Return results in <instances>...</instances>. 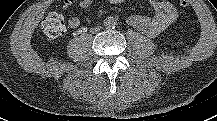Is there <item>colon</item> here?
<instances>
[{
  "mask_svg": "<svg viewBox=\"0 0 217 121\" xmlns=\"http://www.w3.org/2000/svg\"><path fill=\"white\" fill-rule=\"evenodd\" d=\"M179 3L181 6L187 7L189 1L179 0ZM42 28L50 37H59L64 35L66 32V26L62 14L57 11L48 13L42 21Z\"/></svg>",
  "mask_w": 217,
  "mask_h": 121,
  "instance_id": "5ec220e1",
  "label": "colon"
}]
</instances>
